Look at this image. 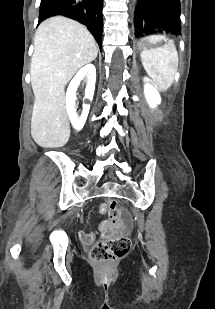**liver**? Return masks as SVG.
<instances>
[{"label":"liver","mask_w":215,"mask_h":309,"mask_svg":"<svg viewBox=\"0 0 215 309\" xmlns=\"http://www.w3.org/2000/svg\"><path fill=\"white\" fill-rule=\"evenodd\" d=\"M97 54V42L77 20L51 16L39 24L30 66L35 96L31 134L39 146L53 148L68 142L71 130L64 86Z\"/></svg>","instance_id":"6515ba94"}]
</instances>
